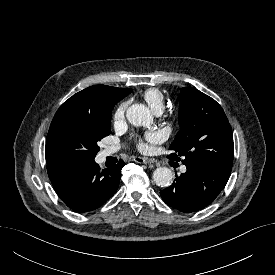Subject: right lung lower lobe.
<instances>
[{"mask_svg":"<svg viewBox=\"0 0 275 275\" xmlns=\"http://www.w3.org/2000/svg\"><path fill=\"white\" fill-rule=\"evenodd\" d=\"M124 165L120 160L100 170L94 160L61 162L47 164V172L60 199L73 211L83 213L97 209L114 195Z\"/></svg>","mask_w":275,"mask_h":275,"instance_id":"98d812e1","label":"right lung lower lobe"}]
</instances>
